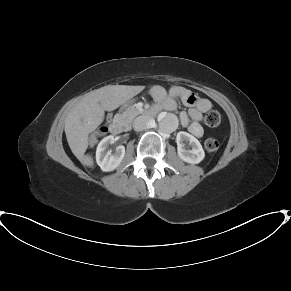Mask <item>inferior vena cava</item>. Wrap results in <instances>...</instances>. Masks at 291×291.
Segmentation results:
<instances>
[{
	"instance_id": "602c4592",
	"label": "inferior vena cava",
	"mask_w": 291,
	"mask_h": 291,
	"mask_svg": "<svg viewBox=\"0 0 291 291\" xmlns=\"http://www.w3.org/2000/svg\"><path fill=\"white\" fill-rule=\"evenodd\" d=\"M153 120L148 116H139L133 122L135 131H142L151 127Z\"/></svg>"
}]
</instances>
